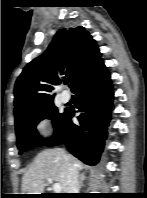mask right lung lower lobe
Segmentation results:
<instances>
[{
	"label": "right lung lower lobe",
	"mask_w": 147,
	"mask_h": 198,
	"mask_svg": "<svg viewBox=\"0 0 147 198\" xmlns=\"http://www.w3.org/2000/svg\"><path fill=\"white\" fill-rule=\"evenodd\" d=\"M73 92L80 100L78 112L82 113L78 116L79 124L72 123L71 118L76 111L69 108L64 125L48 146L66 144L74 156L88 165H95L103 151L113 110V88L104 63L84 78Z\"/></svg>",
	"instance_id": "98d812e1"
}]
</instances>
